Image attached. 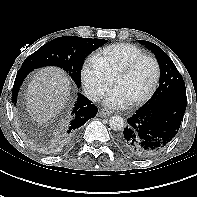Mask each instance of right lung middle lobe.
Here are the masks:
<instances>
[{"mask_svg": "<svg viewBox=\"0 0 197 197\" xmlns=\"http://www.w3.org/2000/svg\"><path fill=\"white\" fill-rule=\"evenodd\" d=\"M107 40L74 36L58 37L31 54L22 67L58 66L68 72L77 87L81 86V69L85 58Z\"/></svg>", "mask_w": 197, "mask_h": 197, "instance_id": "1", "label": "right lung middle lobe"}]
</instances>
